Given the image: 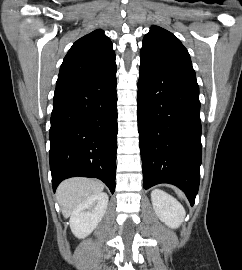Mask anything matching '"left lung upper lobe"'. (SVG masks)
I'll return each mask as SVG.
<instances>
[{"label": "left lung upper lobe", "instance_id": "obj_1", "mask_svg": "<svg viewBox=\"0 0 242 270\" xmlns=\"http://www.w3.org/2000/svg\"><path fill=\"white\" fill-rule=\"evenodd\" d=\"M142 63L196 78L190 55L179 39L169 31L152 26L143 38Z\"/></svg>", "mask_w": 242, "mask_h": 270}]
</instances>
